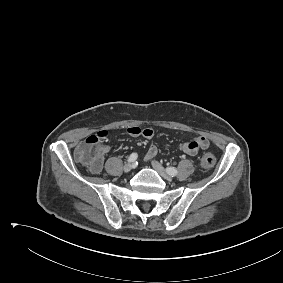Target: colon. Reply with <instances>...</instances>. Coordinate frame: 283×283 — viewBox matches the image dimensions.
Returning a JSON list of instances; mask_svg holds the SVG:
<instances>
[{
    "mask_svg": "<svg viewBox=\"0 0 283 283\" xmlns=\"http://www.w3.org/2000/svg\"><path fill=\"white\" fill-rule=\"evenodd\" d=\"M106 132L101 131L87 137L75 150V157L91 170L95 171L100 167L102 158V139ZM201 165L210 169L215 165L216 157L212 152H205L201 157Z\"/></svg>",
    "mask_w": 283,
    "mask_h": 283,
    "instance_id": "1",
    "label": "colon"
}]
</instances>
